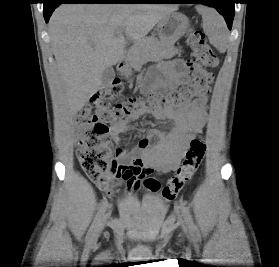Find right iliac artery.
I'll list each match as a JSON object with an SVG mask.
<instances>
[{"label": "right iliac artery", "mask_w": 279, "mask_h": 267, "mask_svg": "<svg viewBox=\"0 0 279 267\" xmlns=\"http://www.w3.org/2000/svg\"><path fill=\"white\" fill-rule=\"evenodd\" d=\"M106 205H107V202L103 201L99 210H98V212H97V214L95 215L93 223H92V225H91V227H90V229L87 233V236H86L87 241H91L92 236H93L98 224L100 223V220H101L102 216L105 213Z\"/></svg>", "instance_id": "obj_1"}]
</instances>
